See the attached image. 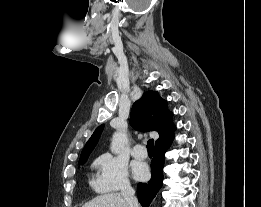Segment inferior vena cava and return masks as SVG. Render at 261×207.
<instances>
[{"instance_id": "1", "label": "inferior vena cava", "mask_w": 261, "mask_h": 207, "mask_svg": "<svg viewBox=\"0 0 261 207\" xmlns=\"http://www.w3.org/2000/svg\"><path fill=\"white\" fill-rule=\"evenodd\" d=\"M121 195L123 196L125 201L128 203L129 207H139L138 200L135 197V191L130 186L129 182L124 183L122 190H121Z\"/></svg>"}]
</instances>
